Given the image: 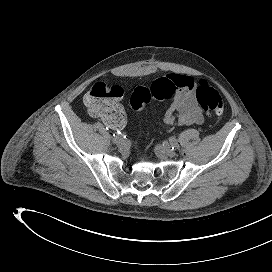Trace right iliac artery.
Segmentation results:
<instances>
[{
    "instance_id": "82829eb1",
    "label": "right iliac artery",
    "mask_w": 272,
    "mask_h": 272,
    "mask_svg": "<svg viewBox=\"0 0 272 272\" xmlns=\"http://www.w3.org/2000/svg\"><path fill=\"white\" fill-rule=\"evenodd\" d=\"M126 137V133L125 132H119L114 134V138H113V142L117 143L119 139L121 138H125Z\"/></svg>"
}]
</instances>
